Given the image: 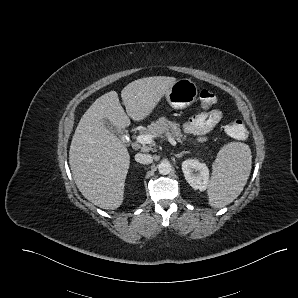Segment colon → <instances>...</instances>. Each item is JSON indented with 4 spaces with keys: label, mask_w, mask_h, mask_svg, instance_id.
Masks as SVG:
<instances>
[{
    "label": "colon",
    "mask_w": 298,
    "mask_h": 298,
    "mask_svg": "<svg viewBox=\"0 0 298 298\" xmlns=\"http://www.w3.org/2000/svg\"><path fill=\"white\" fill-rule=\"evenodd\" d=\"M199 101L204 108H209L216 102V96L209 90H202L199 93ZM225 132L232 138L244 140L248 137L245 124L240 119L230 121L224 128Z\"/></svg>",
    "instance_id": "1"
}]
</instances>
